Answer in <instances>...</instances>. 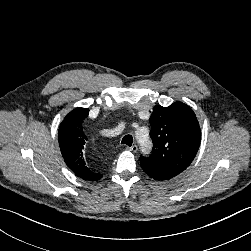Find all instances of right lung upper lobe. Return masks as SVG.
<instances>
[{
	"instance_id": "obj_1",
	"label": "right lung upper lobe",
	"mask_w": 251,
	"mask_h": 251,
	"mask_svg": "<svg viewBox=\"0 0 251 251\" xmlns=\"http://www.w3.org/2000/svg\"><path fill=\"white\" fill-rule=\"evenodd\" d=\"M88 112L87 108L72 110L60 124L58 141L67 166L78 177L88 181H96L102 175L88 168L83 157V149L87 137L82 129V123L88 116Z\"/></svg>"
}]
</instances>
